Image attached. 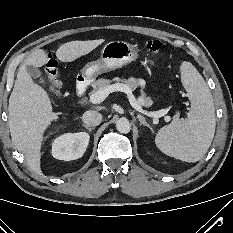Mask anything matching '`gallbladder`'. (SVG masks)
<instances>
[{
    "label": "gallbladder",
    "mask_w": 233,
    "mask_h": 233,
    "mask_svg": "<svg viewBox=\"0 0 233 233\" xmlns=\"http://www.w3.org/2000/svg\"><path fill=\"white\" fill-rule=\"evenodd\" d=\"M26 70L29 73V75L33 78H38L41 75V72L39 71V69L34 66L28 65ZM41 83H44V80H41Z\"/></svg>",
    "instance_id": "bac80fb5"
}]
</instances>
